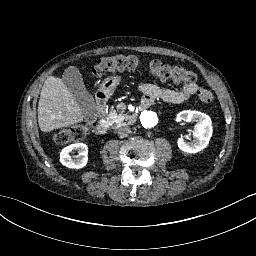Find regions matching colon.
<instances>
[{"label":"colon","mask_w":256,"mask_h":256,"mask_svg":"<svg viewBox=\"0 0 256 256\" xmlns=\"http://www.w3.org/2000/svg\"><path fill=\"white\" fill-rule=\"evenodd\" d=\"M141 65V59L135 55L105 57L100 59L95 66L94 77L98 79L125 70L134 71ZM149 70L152 74L157 75L162 79H172L185 84L194 83L197 79V76L193 71L181 67L170 66L159 60H151L149 62ZM197 96L204 103H213L215 100L213 92L206 89H199L197 91ZM90 129L91 126L88 124L75 125L56 133L54 135V140L57 143L65 144L80 142L85 138Z\"/></svg>","instance_id":"1"}]
</instances>
